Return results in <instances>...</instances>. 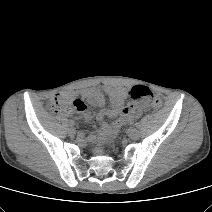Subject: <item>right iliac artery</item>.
<instances>
[{"mask_svg":"<svg viewBox=\"0 0 212 212\" xmlns=\"http://www.w3.org/2000/svg\"><path fill=\"white\" fill-rule=\"evenodd\" d=\"M69 126H74V122L73 121H69Z\"/></svg>","mask_w":212,"mask_h":212,"instance_id":"1","label":"right iliac artery"}]
</instances>
